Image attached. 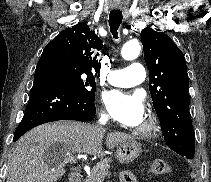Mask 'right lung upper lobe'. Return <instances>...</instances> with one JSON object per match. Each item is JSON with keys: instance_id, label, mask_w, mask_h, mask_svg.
Here are the masks:
<instances>
[{"instance_id": "obj_1", "label": "right lung upper lobe", "mask_w": 211, "mask_h": 182, "mask_svg": "<svg viewBox=\"0 0 211 182\" xmlns=\"http://www.w3.org/2000/svg\"><path fill=\"white\" fill-rule=\"evenodd\" d=\"M102 47V41L87 24L79 23L61 31L46 45L42 54L56 63L62 62L93 75L100 71V61L92 54Z\"/></svg>"}]
</instances>
